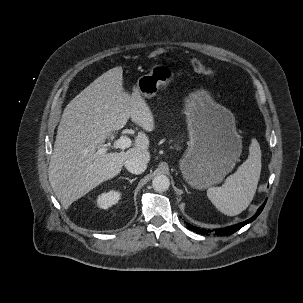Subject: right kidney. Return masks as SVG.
Wrapping results in <instances>:
<instances>
[{"instance_id": "1", "label": "right kidney", "mask_w": 303, "mask_h": 303, "mask_svg": "<svg viewBox=\"0 0 303 303\" xmlns=\"http://www.w3.org/2000/svg\"><path fill=\"white\" fill-rule=\"evenodd\" d=\"M120 197V192L111 190L100 194L96 199V203L99 208L108 209L112 205L118 203Z\"/></svg>"}]
</instances>
